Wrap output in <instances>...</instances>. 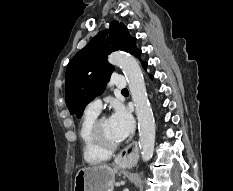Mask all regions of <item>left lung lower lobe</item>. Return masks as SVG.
I'll return each mask as SVG.
<instances>
[{
	"label": "left lung lower lobe",
	"mask_w": 233,
	"mask_h": 191,
	"mask_svg": "<svg viewBox=\"0 0 233 191\" xmlns=\"http://www.w3.org/2000/svg\"><path fill=\"white\" fill-rule=\"evenodd\" d=\"M142 62V66L144 67V69H146V67L148 66V63L147 62H143V61H141ZM151 78H153L152 76H150Z\"/></svg>",
	"instance_id": "1"
}]
</instances>
